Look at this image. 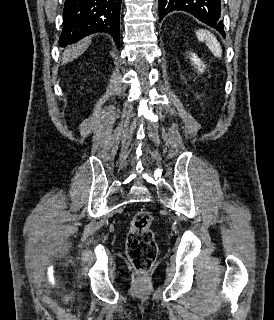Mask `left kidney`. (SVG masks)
I'll list each match as a JSON object with an SVG mask.
<instances>
[{
	"instance_id": "1",
	"label": "left kidney",
	"mask_w": 274,
	"mask_h": 320,
	"mask_svg": "<svg viewBox=\"0 0 274 320\" xmlns=\"http://www.w3.org/2000/svg\"><path fill=\"white\" fill-rule=\"evenodd\" d=\"M192 58H190V60H192L194 66H197L199 72H203L205 66L204 64H202L200 58H198V56H196V54H191Z\"/></svg>"
}]
</instances>
